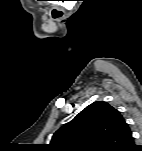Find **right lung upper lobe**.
<instances>
[{
	"instance_id": "cb5924a9",
	"label": "right lung upper lobe",
	"mask_w": 142,
	"mask_h": 151,
	"mask_svg": "<svg viewBox=\"0 0 142 151\" xmlns=\"http://www.w3.org/2000/svg\"><path fill=\"white\" fill-rule=\"evenodd\" d=\"M134 139L121 113L97 101L57 130L49 147L53 151H130Z\"/></svg>"
}]
</instances>
